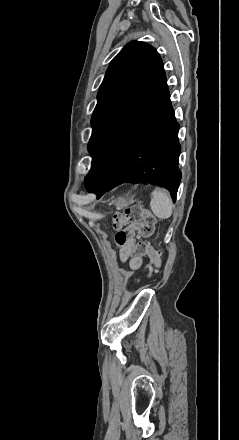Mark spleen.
<instances>
[{"mask_svg": "<svg viewBox=\"0 0 239 440\" xmlns=\"http://www.w3.org/2000/svg\"><path fill=\"white\" fill-rule=\"evenodd\" d=\"M150 202L151 210L160 220H166L172 216L173 204L168 190L155 188Z\"/></svg>", "mask_w": 239, "mask_h": 440, "instance_id": "3e777b00", "label": "spleen"}]
</instances>
